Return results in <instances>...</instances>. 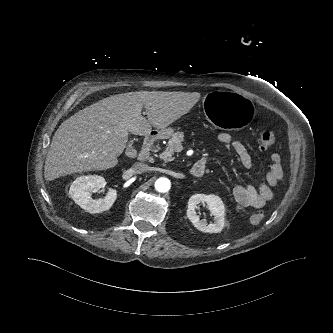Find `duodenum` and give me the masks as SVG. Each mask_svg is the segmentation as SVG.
I'll list each match as a JSON object with an SVG mask.
<instances>
[{"label":"duodenum","mask_w":333,"mask_h":333,"mask_svg":"<svg viewBox=\"0 0 333 333\" xmlns=\"http://www.w3.org/2000/svg\"><path fill=\"white\" fill-rule=\"evenodd\" d=\"M162 134L158 131H152L150 132L143 144V147L139 153L138 160L140 162H148L150 158V152L152 147L154 146L155 142L160 139ZM205 171V165L197 162L192 167V174L195 177H201L204 174Z\"/></svg>","instance_id":"duodenum-1"}]
</instances>
